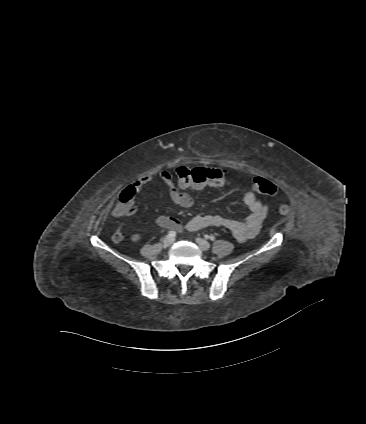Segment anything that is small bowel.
Returning a JSON list of instances; mask_svg holds the SVG:
<instances>
[{
  "label": "small bowel",
  "mask_w": 366,
  "mask_h": 424,
  "mask_svg": "<svg viewBox=\"0 0 366 424\" xmlns=\"http://www.w3.org/2000/svg\"><path fill=\"white\" fill-rule=\"evenodd\" d=\"M215 170L220 177L216 178L217 180L209 185V187H219L224 185L227 181V172L224 168H215ZM154 178L160 179L166 185L170 198L175 204L186 208L193 205L194 200L192 196L186 192L180 191L174 184L171 175L165 171L144 176L136 180L131 188L135 191H139ZM180 186L184 188L187 187L181 184ZM203 188L204 187H196L193 189L201 190ZM255 192L256 191L252 185L243 196V202L248 207L250 213L242 221L225 218L216 214H201L191 218L185 225L176 218L164 215L159 216L155 220V223L159 227L176 230L178 232H183L184 230L195 232L206 227H221L230 231L234 238L238 241H246L258 234L268 212L267 206L257 199ZM113 215L115 217H119L115 212ZM112 238L114 242L117 243L123 240V236L119 228H117L113 233ZM140 239L141 236L139 234H133L131 236L132 242H139Z\"/></svg>",
  "instance_id": "small-bowel-1"
}]
</instances>
